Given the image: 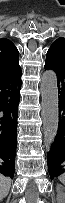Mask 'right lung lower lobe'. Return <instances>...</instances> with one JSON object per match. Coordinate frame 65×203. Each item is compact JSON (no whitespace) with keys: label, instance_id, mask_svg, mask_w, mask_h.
<instances>
[{"label":"right lung lower lobe","instance_id":"1","mask_svg":"<svg viewBox=\"0 0 65 203\" xmlns=\"http://www.w3.org/2000/svg\"><path fill=\"white\" fill-rule=\"evenodd\" d=\"M21 70L0 74V173L14 177Z\"/></svg>","mask_w":65,"mask_h":203}]
</instances>
